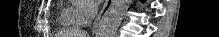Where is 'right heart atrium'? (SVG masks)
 Instances as JSON below:
<instances>
[{
	"label": "right heart atrium",
	"mask_w": 219,
	"mask_h": 37,
	"mask_svg": "<svg viewBox=\"0 0 219 37\" xmlns=\"http://www.w3.org/2000/svg\"><path fill=\"white\" fill-rule=\"evenodd\" d=\"M75 18L80 23H87L93 19L96 13V3L92 0H75Z\"/></svg>",
	"instance_id": "right-heart-atrium-1"
}]
</instances>
